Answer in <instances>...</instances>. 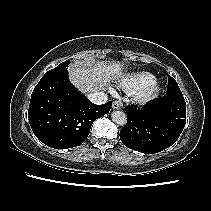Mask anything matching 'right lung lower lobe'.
Here are the masks:
<instances>
[{"instance_id": "98d812e1", "label": "right lung lower lobe", "mask_w": 211, "mask_h": 211, "mask_svg": "<svg viewBox=\"0 0 211 211\" xmlns=\"http://www.w3.org/2000/svg\"><path fill=\"white\" fill-rule=\"evenodd\" d=\"M111 105V101L93 104L69 82L65 71L39 81L32 92L28 118L41 142L67 149L81 145L93 122L107 114Z\"/></svg>"}]
</instances>
